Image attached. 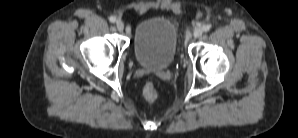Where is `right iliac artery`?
Masks as SVG:
<instances>
[{
	"label": "right iliac artery",
	"mask_w": 298,
	"mask_h": 138,
	"mask_svg": "<svg viewBox=\"0 0 298 138\" xmlns=\"http://www.w3.org/2000/svg\"><path fill=\"white\" fill-rule=\"evenodd\" d=\"M109 21L112 22V23H114V22L116 21V17L111 16V17L109 18Z\"/></svg>",
	"instance_id": "1"
}]
</instances>
